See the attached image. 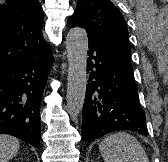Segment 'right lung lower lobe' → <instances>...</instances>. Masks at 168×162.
I'll return each mask as SVG.
<instances>
[{
	"label": "right lung lower lobe",
	"instance_id": "right-lung-lower-lobe-1",
	"mask_svg": "<svg viewBox=\"0 0 168 162\" xmlns=\"http://www.w3.org/2000/svg\"><path fill=\"white\" fill-rule=\"evenodd\" d=\"M53 56L19 62L0 73V133L39 147L40 104Z\"/></svg>",
	"mask_w": 168,
	"mask_h": 162
}]
</instances>
